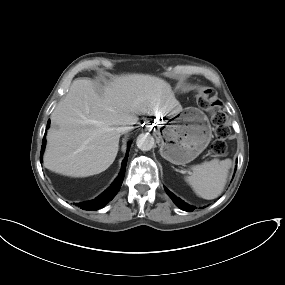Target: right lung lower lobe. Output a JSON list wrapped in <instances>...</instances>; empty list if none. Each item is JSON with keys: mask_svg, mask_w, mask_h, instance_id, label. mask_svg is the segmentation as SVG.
<instances>
[{"mask_svg": "<svg viewBox=\"0 0 285 285\" xmlns=\"http://www.w3.org/2000/svg\"><path fill=\"white\" fill-rule=\"evenodd\" d=\"M49 125H50V120L48 121L47 128L49 127ZM45 144H46V137L44 135L42 147H41L40 159H42V155H43V152L45 149ZM129 148H130V143H128V150L126 153V157L124 158V160L122 162V169H121L118 177L111 184V186L108 189H106L101 195H99L97 198H95L94 200H91L88 202L77 203L76 205L78 207H80L83 210H98V209H101L102 207H104L110 200L113 199V197L119 191V189L122 185L123 179H124Z\"/></svg>", "mask_w": 285, "mask_h": 285, "instance_id": "right-lung-lower-lobe-1", "label": "right lung lower lobe"}]
</instances>
